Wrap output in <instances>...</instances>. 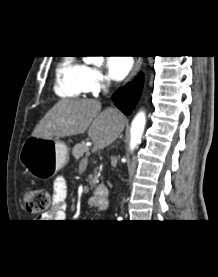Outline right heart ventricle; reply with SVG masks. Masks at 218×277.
Segmentation results:
<instances>
[{"mask_svg": "<svg viewBox=\"0 0 218 277\" xmlns=\"http://www.w3.org/2000/svg\"><path fill=\"white\" fill-rule=\"evenodd\" d=\"M85 67L71 57L63 58L56 69L55 93L62 98H77L85 93Z\"/></svg>", "mask_w": 218, "mask_h": 277, "instance_id": "obj_1", "label": "right heart ventricle"}]
</instances>
